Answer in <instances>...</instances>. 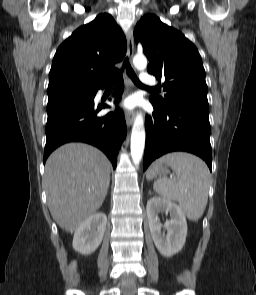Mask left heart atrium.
<instances>
[{
    "instance_id": "1",
    "label": "left heart atrium",
    "mask_w": 256,
    "mask_h": 295,
    "mask_svg": "<svg viewBox=\"0 0 256 295\" xmlns=\"http://www.w3.org/2000/svg\"><path fill=\"white\" fill-rule=\"evenodd\" d=\"M134 105H135V100L132 98H128L122 103V106L125 108H131Z\"/></svg>"
}]
</instances>
